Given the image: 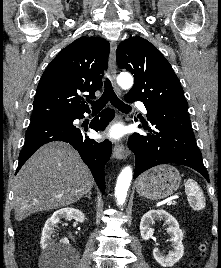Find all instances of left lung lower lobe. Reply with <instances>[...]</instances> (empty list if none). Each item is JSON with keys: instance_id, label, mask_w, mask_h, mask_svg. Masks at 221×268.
Here are the masks:
<instances>
[{"instance_id": "left-lung-lower-lobe-1", "label": "left lung lower lobe", "mask_w": 221, "mask_h": 268, "mask_svg": "<svg viewBox=\"0 0 221 268\" xmlns=\"http://www.w3.org/2000/svg\"><path fill=\"white\" fill-rule=\"evenodd\" d=\"M125 100L136 101L127 96ZM145 107L152 128L142 123L149 133H134L128 140V147L136 157L134 178L154 166L176 163L195 169L209 181L187 110Z\"/></svg>"}]
</instances>
